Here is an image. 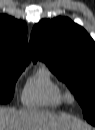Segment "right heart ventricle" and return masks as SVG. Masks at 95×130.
Returning <instances> with one entry per match:
<instances>
[{
  "mask_svg": "<svg viewBox=\"0 0 95 130\" xmlns=\"http://www.w3.org/2000/svg\"><path fill=\"white\" fill-rule=\"evenodd\" d=\"M22 102L28 107H60L65 102L64 90L51 70L40 66L29 77L22 92Z\"/></svg>",
  "mask_w": 95,
  "mask_h": 130,
  "instance_id": "obj_1",
  "label": "right heart ventricle"
}]
</instances>
